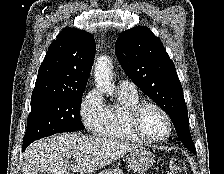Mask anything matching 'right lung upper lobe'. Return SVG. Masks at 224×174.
<instances>
[{"mask_svg": "<svg viewBox=\"0 0 224 174\" xmlns=\"http://www.w3.org/2000/svg\"><path fill=\"white\" fill-rule=\"evenodd\" d=\"M96 50L89 33L65 28L50 45L42 62L32 97L83 93Z\"/></svg>", "mask_w": 224, "mask_h": 174, "instance_id": "cb5924a9", "label": "right lung upper lobe"}]
</instances>
